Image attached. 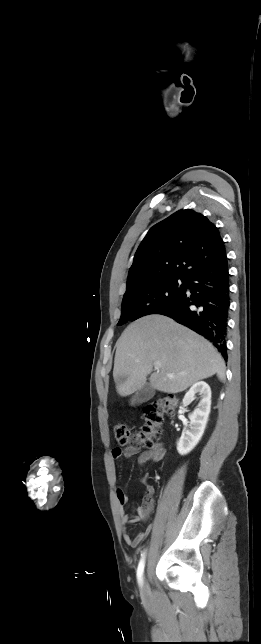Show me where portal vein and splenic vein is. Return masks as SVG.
I'll return each mask as SVG.
<instances>
[{
  "mask_svg": "<svg viewBox=\"0 0 261 644\" xmlns=\"http://www.w3.org/2000/svg\"><path fill=\"white\" fill-rule=\"evenodd\" d=\"M160 367H161V363H160V362H155V363H154V368H155V370H159V369H160ZM167 376H168L169 378H173V377H174L172 374H167Z\"/></svg>",
  "mask_w": 261,
  "mask_h": 644,
  "instance_id": "portal-vein-and-splenic-vein-1",
  "label": "portal vein and splenic vein"
}]
</instances>
